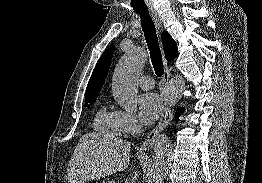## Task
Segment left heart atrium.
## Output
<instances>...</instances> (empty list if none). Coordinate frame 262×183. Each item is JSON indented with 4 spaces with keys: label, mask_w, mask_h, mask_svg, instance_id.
Listing matches in <instances>:
<instances>
[{
    "label": "left heart atrium",
    "mask_w": 262,
    "mask_h": 183,
    "mask_svg": "<svg viewBox=\"0 0 262 183\" xmlns=\"http://www.w3.org/2000/svg\"><path fill=\"white\" fill-rule=\"evenodd\" d=\"M139 117L143 124H153L161 110L159 97L155 93H145L138 100Z\"/></svg>",
    "instance_id": "left-heart-atrium-1"
}]
</instances>
